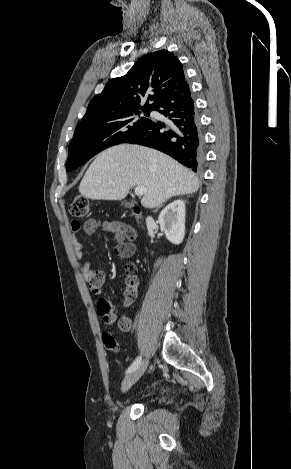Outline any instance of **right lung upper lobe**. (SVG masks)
<instances>
[{"label":"right lung upper lobe","mask_w":291,"mask_h":469,"mask_svg":"<svg viewBox=\"0 0 291 469\" xmlns=\"http://www.w3.org/2000/svg\"><path fill=\"white\" fill-rule=\"evenodd\" d=\"M186 86L181 62L173 53L159 50L139 59L125 76L111 79L92 98L81 121L136 109L153 110L169 93ZM150 100L152 104H148Z\"/></svg>","instance_id":"1"}]
</instances>
